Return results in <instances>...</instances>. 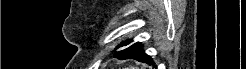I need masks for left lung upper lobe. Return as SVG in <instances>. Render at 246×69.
<instances>
[{
  "label": "left lung upper lobe",
  "instance_id": "left-lung-upper-lobe-1",
  "mask_svg": "<svg viewBox=\"0 0 246 69\" xmlns=\"http://www.w3.org/2000/svg\"><path fill=\"white\" fill-rule=\"evenodd\" d=\"M132 41H133V40H126V41H123V42H121V43L117 46V48L123 47V46H127V45L130 44Z\"/></svg>",
  "mask_w": 246,
  "mask_h": 69
}]
</instances>
